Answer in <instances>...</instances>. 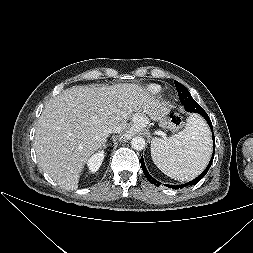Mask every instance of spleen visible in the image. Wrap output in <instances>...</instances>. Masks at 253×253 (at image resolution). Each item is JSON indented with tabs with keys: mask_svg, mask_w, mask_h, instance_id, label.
<instances>
[{
	"mask_svg": "<svg viewBox=\"0 0 253 253\" xmlns=\"http://www.w3.org/2000/svg\"><path fill=\"white\" fill-rule=\"evenodd\" d=\"M211 134L199 115L188 118L186 127L168 138H154L151 156L154 164L167 176L187 181L199 175L209 162Z\"/></svg>",
	"mask_w": 253,
	"mask_h": 253,
	"instance_id": "spleen-1",
	"label": "spleen"
}]
</instances>
